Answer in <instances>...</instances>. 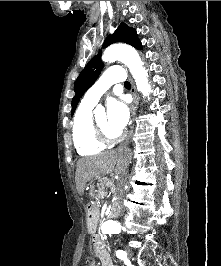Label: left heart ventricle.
Segmentation results:
<instances>
[{
    "label": "left heart ventricle",
    "instance_id": "obj_1",
    "mask_svg": "<svg viewBox=\"0 0 221 266\" xmlns=\"http://www.w3.org/2000/svg\"><path fill=\"white\" fill-rule=\"evenodd\" d=\"M96 121L101 126V128H103L107 133L113 135V134H116L118 132V131L114 130L109 125L108 118H107L106 114H102V115L98 116Z\"/></svg>",
    "mask_w": 221,
    "mask_h": 266
}]
</instances>
